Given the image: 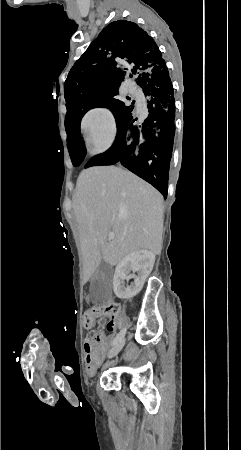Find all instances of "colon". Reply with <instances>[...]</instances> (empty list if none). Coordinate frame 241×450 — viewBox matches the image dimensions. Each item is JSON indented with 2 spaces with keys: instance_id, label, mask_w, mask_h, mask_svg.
<instances>
[{
  "instance_id": "1",
  "label": "colon",
  "mask_w": 241,
  "mask_h": 450,
  "mask_svg": "<svg viewBox=\"0 0 241 450\" xmlns=\"http://www.w3.org/2000/svg\"><path fill=\"white\" fill-rule=\"evenodd\" d=\"M122 311V306L118 303L116 300H112L109 302L107 306L103 307H96L95 309H91L88 311V313L84 314V327L85 328H92L93 322L98 321V317H101L106 314L110 315H116L117 313H120Z\"/></svg>"
}]
</instances>
